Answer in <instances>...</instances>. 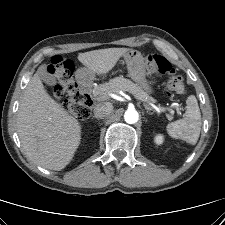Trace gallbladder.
Masks as SVG:
<instances>
[{"label":"gallbladder","instance_id":"1","mask_svg":"<svg viewBox=\"0 0 225 225\" xmlns=\"http://www.w3.org/2000/svg\"><path fill=\"white\" fill-rule=\"evenodd\" d=\"M37 73L39 74L40 78L48 85H54L56 83V78L48 72L46 65H41L38 68Z\"/></svg>","mask_w":225,"mask_h":225}]
</instances>
